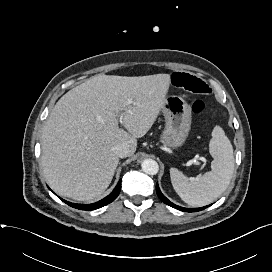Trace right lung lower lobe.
I'll return each mask as SVG.
<instances>
[{
    "label": "right lung lower lobe",
    "instance_id": "right-lung-lower-lobe-1",
    "mask_svg": "<svg viewBox=\"0 0 272 272\" xmlns=\"http://www.w3.org/2000/svg\"><path fill=\"white\" fill-rule=\"evenodd\" d=\"M121 190V179L118 182V184L116 185L115 189L112 191L111 194H109L107 197H105L104 199L93 203V204H74V203H70L68 201H65L63 199H61L62 201H64L66 204L70 205L71 207L80 209V210H95L98 209L100 207H103L109 203H111L113 200L116 199V197L119 195Z\"/></svg>",
    "mask_w": 272,
    "mask_h": 272
}]
</instances>
